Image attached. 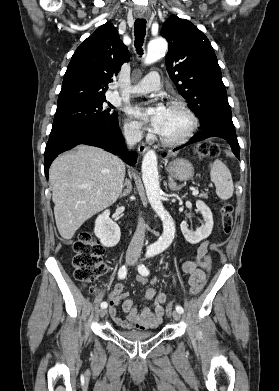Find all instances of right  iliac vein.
Wrapping results in <instances>:
<instances>
[{
	"label": "right iliac vein",
	"mask_w": 279,
	"mask_h": 391,
	"mask_svg": "<svg viewBox=\"0 0 279 391\" xmlns=\"http://www.w3.org/2000/svg\"><path fill=\"white\" fill-rule=\"evenodd\" d=\"M134 262H135L134 257H132V256H128V257H127V263H128V264H133ZM106 314H107V309H105V308H103V309H101V310L99 311L100 317H104Z\"/></svg>",
	"instance_id": "right-iliac-vein-1"
}]
</instances>
